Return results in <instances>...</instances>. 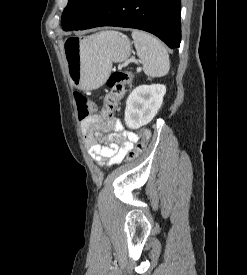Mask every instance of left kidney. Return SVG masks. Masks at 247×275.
I'll return each instance as SVG.
<instances>
[{
    "mask_svg": "<svg viewBox=\"0 0 247 275\" xmlns=\"http://www.w3.org/2000/svg\"><path fill=\"white\" fill-rule=\"evenodd\" d=\"M166 87L162 84L140 85L126 100L125 124L130 129L147 125L163 103Z\"/></svg>",
    "mask_w": 247,
    "mask_h": 275,
    "instance_id": "obj_1",
    "label": "left kidney"
}]
</instances>
